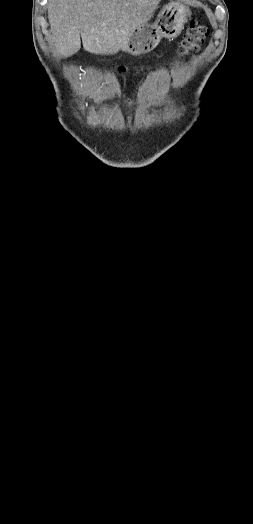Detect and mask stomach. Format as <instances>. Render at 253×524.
Wrapping results in <instances>:
<instances>
[{"instance_id":"obj_1","label":"stomach","mask_w":253,"mask_h":524,"mask_svg":"<svg viewBox=\"0 0 253 524\" xmlns=\"http://www.w3.org/2000/svg\"><path fill=\"white\" fill-rule=\"evenodd\" d=\"M189 14L190 10L185 5L169 3L160 11L153 25L144 24L135 29L121 50L133 55L150 52L161 38H176L183 30Z\"/></svg>"}]
</instances>
